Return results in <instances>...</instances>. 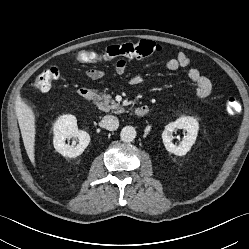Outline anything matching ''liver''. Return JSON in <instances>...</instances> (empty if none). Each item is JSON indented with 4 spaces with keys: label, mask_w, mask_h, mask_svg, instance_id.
<instances>
[{
    "label": "liver",
    "mask_w": 249,
    "mask_h": 249,
    "mask_svg": "<svg viewBox=\"0 0 249 249\" xmlns=\"http://www.w3.org/2000/svg\"><path fill=\"white\" fill-rule=\"evenodd\" d=\"M16 115L27 155L35 165V115L30 106L18 98L16 101Z\"/></svg>",
    "instance_id": "obj_1"
}]
</instances>
